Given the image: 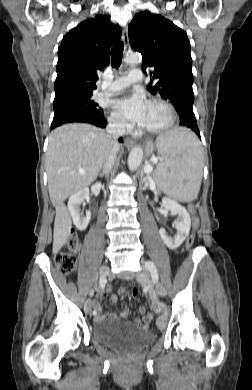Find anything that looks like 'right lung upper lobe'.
Instances as JSON below:
<instances>
[{
	"instance_id": "cb5924a9",
	"label": "right lung upper lobe",
	"mask_w": 252,
	"mask_h": 390,
	"mask_svg": "<svg viewBox=\"0 0 252 390\" xmlns=\"http://www.w3.org/2000/svg\"><path fill=\"white\" fill-rule=\"evenodd\" d=\"M121 37V28L106 15L83 21L67 33L58 48L54 101L92 94L97 71L109 63V49Z\"/></svg>"
}]
</instances>
